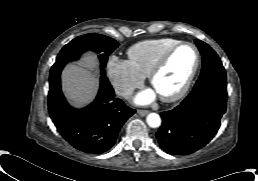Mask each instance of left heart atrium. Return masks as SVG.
Listing matches in <instances>:
<instances>
[{
	"mask_svg": "<svg viewBox=\"0 0 258 181\" xmlns=\"http://www.w3.org/2000/svg\"><path fill=\"white\" fill-rule=\"evenodd\" d=\"M156 97V93L154 90L152 89H147L141 93H139L136 97H135V102L137 104H148L151 101H153Z\"/></svg>",
	"mask_w": 258,
	"mask_h": 181,
	"instance_id": "obj_1",
	"label": "left heart atrium"
}]
</instances>
